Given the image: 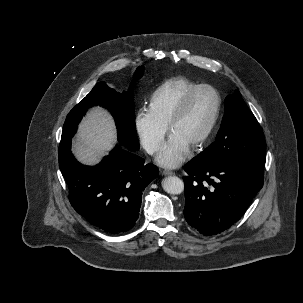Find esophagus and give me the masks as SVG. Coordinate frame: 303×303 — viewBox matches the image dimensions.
Instances as JSON below:
<instances>
[{
  "label": "esophagus",
  "instance_id": "esophagus-1",
  "mask_svg": "<svg viewBox=\"0 0 303 303\" xmlns=\"http://www.w3.org/2000/svg\"><path fill=\"white\" fill-rule=\"evenodd\" d=\"M162 174L165 176H169V175H174L175 173L173 171L170 170H163Z\"/></svg>",
  "mask_w": 303,
  "mask_h": 303
}]
</instances>
